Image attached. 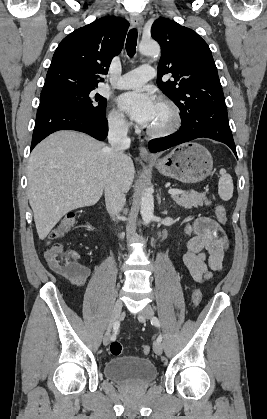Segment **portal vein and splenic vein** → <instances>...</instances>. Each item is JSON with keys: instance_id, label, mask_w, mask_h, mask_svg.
Instances as JSON below:
<instances>
[{"instance_id": "portal-vein-and-splenic-vein-1", "label": "portal vein and splenic vein", "mask_w": 267, "mask_h": 419, "mask_svg": "<svg viewBox=\"0 0 267 419\" xmlns=\"http://www.w3.org/2000/svg\"><path fill=\"white\" fill-rule=\"evenodd\" d=\"M168 193L172 196H175V195L182 194L184 192L182 190H179V189H169Z\"/></svg>"}]
</instances>
